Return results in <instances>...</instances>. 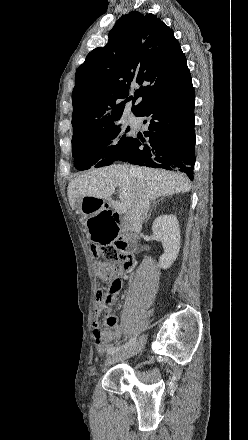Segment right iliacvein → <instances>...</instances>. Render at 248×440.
Masks as SVG:
<instances>
[{"label": "right iliac vein", "instance_id": "right-iliac-vein-1", "mask_svg": "<svg viewBox=\"0 0 248 440\" xmlns=\"http://www.w3.org/2000/svg\"><path fill=\"white\" fill-rule=\"evenodd\" d=\"M144 339H145L144 336H141L139 338V340L137 342L133 343L129 348H126V349H124L122 351L115 352V353L111 354L107 358L105 364L106 365L112 364V363H115V362H117L119 360H124V359L130 358L131 356H134L142 348L143 343H144Z\"/></svg>", "mask_w": 248, "mask_h": 440}]
</instances>
